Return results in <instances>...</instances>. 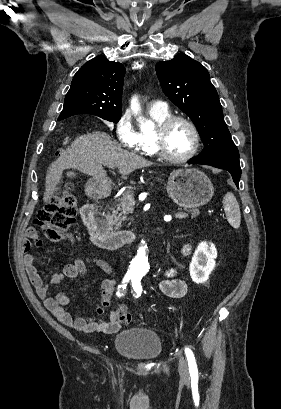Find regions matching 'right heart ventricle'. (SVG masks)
<instances>
[{
    "instance_id": "e07e8e85",
    "label": "right heart ventricle",
    "mask_w": 281,
    "mask_h": 409,
    "mask_svg": "<svg viewBox=\"0 0 281 409\" xmlns=\"http://www.w3.org/2000/svg\"><path fill=\"white\" fill-rule=\"evenodd\" d=\"M150 114L155 124L162 122L164 119L170 116V113L167 110L165 111L151 110ZM135 150L145 155L150 156L155 155V152L152 147L150 130L146 131L141 129L140 131L137 132Z\"/></svg>"
}]
</instances>
